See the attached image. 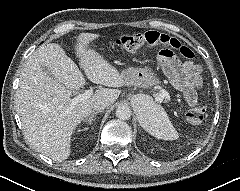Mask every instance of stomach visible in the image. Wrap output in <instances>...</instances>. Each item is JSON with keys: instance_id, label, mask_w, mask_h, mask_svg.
Instances as JSON below:
<instances>
[{"instance_id": "stomach-1", "label": "stomach", "mask_w": 240, "mask_h": 191, "mask_svg": "<svg viewBox=\"0 0 240 191\" xmlns=\"http://www.w3.org/2000/svg\"><path fill=\"white\" fill-rule=\"evenodd\" d=\"M121 76L126 85L143 88L152 87L160 82L155 71L150 66L144 68H127L121 72ZM135 108L141 124V118L146 112V108L139 105H136Z\"/></svg>"}]
</instances>
